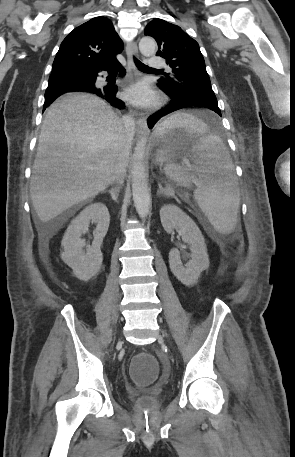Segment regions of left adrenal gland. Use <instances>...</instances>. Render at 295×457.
<instances>
[{
  "mask_svg": "<svg viewBox=\"0 0 295 457\" xmlns=\"http://www.w3.org/2000/svg\"><path fill=\"white\" fill-rule=\"evenodd\" d=\"M158 186H159V190L157 192L158 196L159 195L168 196V197L170 196V192L168 190L164 189L160 183H158Z\"/></svg>",
  "mask_w": 295,
  "mask_h": 457,
  "instance_id": "obj_1",
  "label": "left adrenal gland"
}]
</instances>
